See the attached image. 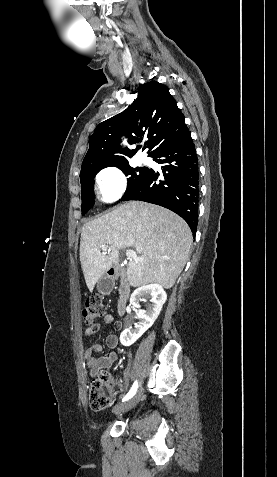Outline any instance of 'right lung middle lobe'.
I'll use <instances>...</instances> for the list:
<instances>
[{
    "mask_svg": "<svg viewBox=\"0 0 277 477\" xmlns=\"http://www.w3.org/2000/svg\"><path fill=\"white\" fill-rule=\"evenodd\" d=\"M121 169L128 178V186L123 197L135 189L145 178L148 168H132L128 162L114 165ZM104 167H89L81 170L80 182H81V196H82V215H85L87 211L94 205V192L93 184L95 175ZM122 197V198H123Z\"/></svg>",
    "mask_w": 277,
    "mask_h": 477,
    "instance_id": "obj_1",
    "label": "right lung middle lobe"
}]
</instances>
